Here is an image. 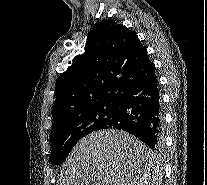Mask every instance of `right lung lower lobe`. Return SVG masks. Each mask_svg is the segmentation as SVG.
<instances>
[{
    "label": "right lung lower lobe",
    "instance_id": "1",
    "mask_svg": "<svg viewBox=\"0 0 207 185\" xmlns=\"http://www.w3.org/2000/svg\"><path fill=\"white\" fill-rule=\"evenodd\" d=\"M117 104V120L103 129L124 130L151 149L160 148L164 121L156 75L130 84L119 96Z\"/></svg>",
    "mask_w": 207,
    "mask_h": 185
}]
</instances>
